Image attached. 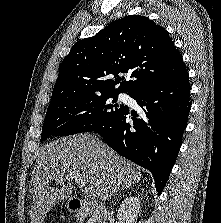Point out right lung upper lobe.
<instances>
[{
    "instance_id": "right-lung-upper-lobe-1",
    "label": "right lung upper lobe",
    "mask_w": 221,
    "mask_h": 223,
    "mask_svg": "<svg viewBox=\"0 0 221 223\" xmlns=\"http://www.w3.org/2000/svg\"><path fill=\"white\" fill-rule=\"evenodd\" d=\"M185 70L166 30L147 17L130 15L74 44L60 66L51 102L83 94L130 95ZM119 73H130L131 80L121 81Z\"/></svg>"
}]
</instances>
